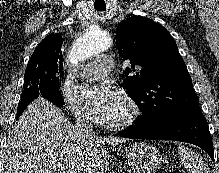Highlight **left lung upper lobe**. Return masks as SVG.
I'll list each match as a JSON object with an SVG mask.
<instances>
[{
  "mask_svg": "<svg viewBox=\"0 0 219 173\" xmlns=\"http://www.w3.org/2000/svg\"><path fill=\"white\" fill-rule=\"evenodd\" d=\"M116 44L123 61L131 63L123 87L142 111L134 124L152 126L199 106L176 42L163 26L141 16L128 18L116 29Z\"/></svg>",
  "mask_w": 219,
  "mask_h": 173,
  "instance_id": "obj_1",
  "label": "left lung upper lobe"
}]
</instances>
